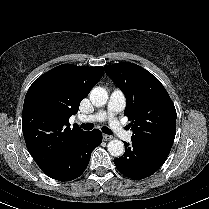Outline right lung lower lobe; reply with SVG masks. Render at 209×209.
Masks as SVG:
<instances>
[{"mask_svg":"<svg viewBox=\"0 0 209 209\" xmlns=\"http://www.w3.org/2000/svg\"><path fill=\"white\" fill-rule=\"evenodd\" d=\"M102 142V133L98 129L83 132L66 152L43 172L59 181H71L84 172L92 150Z\"/></svg>","mask_w":209,"mask_h":209,"instance_id":"obj_1","label":"right lung lower lobe"}]
</instances>
